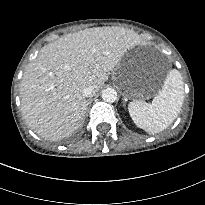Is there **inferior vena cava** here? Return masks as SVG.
<instances>
[{"instance_id": "602c4592", "label": "inferior vena cava", "mask_w": 205, "mask_h": 205, "mask_svg": "<svg viewBox=\"0 0 205 205\" xmlns=\"http://www.w3.org/2000/svg\"><path fill=\"white\" fill-rule=\"evenodd\" d=\"M83 95L85 97H92L96 93L94 86L88 85L83 89Z\"/></svg>"}]
</instances>
